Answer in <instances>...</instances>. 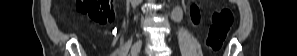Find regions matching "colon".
<instances>
[{"label":"colon","mask_w":297,"mask_h":56,"mask_svg":"<svg viewBox=\"0 0 297 56\" xmlns=\"http://www.w3.org/2000/svg\"><path fill=\"white\" fill-rule=\"evenodd\" d=\"M77 7L87 13L94 21L104 24L113 19L112 0H78ZM234 15L226 7L216 10L212 16V24L206 41L211 51H218L226 39L233 24Z\"/></svg>","instance_id":"5ec220e1"}]
</instances>
